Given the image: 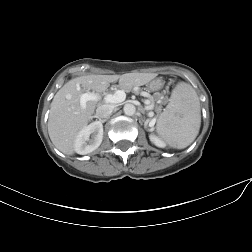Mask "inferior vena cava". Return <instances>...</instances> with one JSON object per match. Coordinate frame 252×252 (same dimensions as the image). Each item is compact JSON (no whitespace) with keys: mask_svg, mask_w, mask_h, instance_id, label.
I'll return each mask as SVG.
<instances>
[{"mask_svg":"<svg viewBox=\"0 0 252 252\" xmlns=\"http://www.w3.org/2000/svg\"><path fill=\"white\" fill-rule=\"evenodd\" d=\"M115 106L113 104L99 105L96 109V115L100 119L108 118L114 111Z\"/></svg>","mask_w":252,"mask_h":252,"instance_id":"1","label":"inferior vena cava"}]
</instances>
